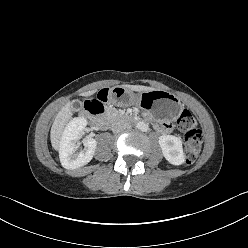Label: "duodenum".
Returning <instances> with one entry per match:
<instances>
[{
  "label": "duodenum",
  "mask_w": 248,
  "mask_h": 248,
  "mask_svg": "<svg viewBox=\"0 0 248 248\" xmlns=\"http://www.w3.org/2000/svg\"><path fill=\"white\" fill-rule=\"evenodd\" d=\"M114 93V90L111 87L105 88L100 95H98L95 100H91L88 105L85 106V113L92 120V123L97 128H105L109 124V119L102 113V109L97 108L103 104L106 99ZM121 121L132 124L134 119L130 116H122Z\"/></svg>",
  "instance_id": "obj_1"
}]
</instances>
